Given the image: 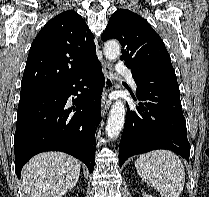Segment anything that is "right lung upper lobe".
<instances>
[{
    "instance_id": "cb5924a9",
    "label": "right lung upper lobe",
    "mask_w": 209,
    "mask_h": 197,
    "mask_svg": "<svg viewBox=\"0 0 209 197\" xmlns=\"http://www.w3.org/2000/svg\"><path fill=\"white\" fill-rule=\"evenodd\" d=\"M93 34L73 10L60 13L34 39L21 91L57 86L98 60Z\"/></svg>"
}]
</instances>
